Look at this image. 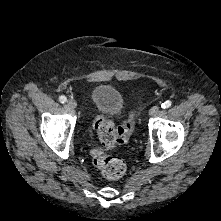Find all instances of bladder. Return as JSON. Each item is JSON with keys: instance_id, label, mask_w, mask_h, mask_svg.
<instances>
[{"instance_id": "obj_1", "label": "bladder", "mask_w": 221, "mask_h": 221, "mask_svg": "<svg viewBox=\"0 0 221 221\" xmlns=\"http://www.w3.org/2000/svg\"><path fill=\"white\" fill-rule=\"evenodd\" d=\"M93 107L108 116H118L124 107V100L121 93L113 86L101 84L91 92Z\"/></svg>"}]
</instances>
